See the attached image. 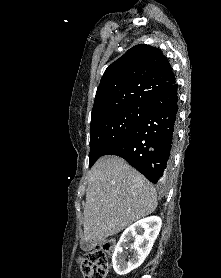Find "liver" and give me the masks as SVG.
<instances>
[{
	"label": "liver",
	"instance_id": "liver-1",
	"mask_svg": "<svg viewBox=\"0 0 221 278\" xmlns=\"http://www.w3.org/2000/svg\"><path fill=\"white\" fill-rule=\"evenodd\" d=\"M156 207V190L142 174L120 157H102L88 174L83 240L92 247Z\"/></svg>",
	"mask_w": 221,
	"mask_h": 278
}]
</instances>
